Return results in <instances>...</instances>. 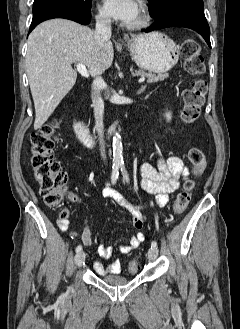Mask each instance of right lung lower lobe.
<instances>
[{
  "mask_svg": "<svg viewBox=\"0 0 240 329\" xmlns=\"http://www.w3.org/2000/svg\"><path fill=\"white\" fill-rule=\"evenodd\" d=\"M52 18H64L73 20L83 25H87L91 20V13L89 11L67 8L55 5H40L33 7V19L30 25L29 32H31L42 21Z\"/></svg>",
  "mask_w": 240,
  "mask_h": 329,
  "instance_id": "obj_1",
  "label": "right lung lower lobe"
}]
</instances>
